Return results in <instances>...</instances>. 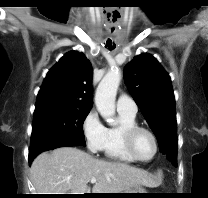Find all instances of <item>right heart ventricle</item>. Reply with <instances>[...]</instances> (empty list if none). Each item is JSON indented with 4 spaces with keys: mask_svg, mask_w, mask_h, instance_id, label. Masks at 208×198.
<instances>
[{
    "mask_svg": "<svg viewBox=\"0 0 208 198\" xmlns=\"http://www.w3.org/2000/svg\"><path fill=\"white\" fill-rule=\"evenodd\" d=\"M120 123L117 126L106 128L103 153L107 159L132 164L134 159L127 151L124 143V131L128 127L137 125L136 115L119 112Z\"/></svg>",
    "mask_w": 208,
    "mask_h": 198,
    "instance_id": "right-heart-ventricle-1",
    "label": "right heart ventricle"
}]
</instances>
